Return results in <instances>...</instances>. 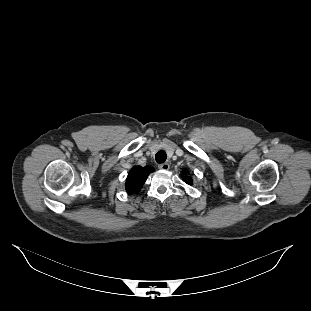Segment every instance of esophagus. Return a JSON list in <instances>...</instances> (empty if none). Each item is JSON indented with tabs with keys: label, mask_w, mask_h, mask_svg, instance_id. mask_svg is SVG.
Listing matches in <instances>:
<instances>
[{
	"label": "esophagus",
	"mask_w": 311,
	"mask_h": 311,
	"mask_svg": "<svg viewBox=\"0 0 311 311\" xmlns=\"http://www.w3.org/2000/svg\"><path fill=\"white\" fill-rule=\"evenodd\" d=\"M158 168L160 170H168L170 168V165L168 163H161L158 165Z\"/></svg>",
	"instance_id": "34e87169"
}]
</instances>
